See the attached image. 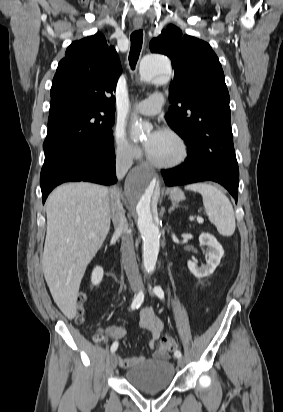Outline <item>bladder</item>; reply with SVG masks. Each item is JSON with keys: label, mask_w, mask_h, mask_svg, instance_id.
I'll use <instances>...</instances> for the list:
<instances>
[{"label": "bladder", "mask_w": 283, "mask_h": 412, "mask_svg": "<svg viewBox=\"0 0 283 412\" xmlns=\"http://www.w3.org/2000/svg\"><path fill=\"white\" fill-rule=\"evenodd\" d=\"M175 367L169 360L143 361L125 372V380L142 392H161L174 382Z\"/></svg>", "instance_id": "obj_1"}]
</instances>
